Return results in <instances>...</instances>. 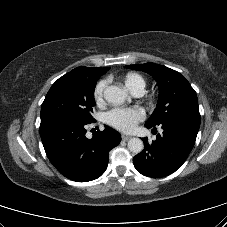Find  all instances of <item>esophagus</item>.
<instances>
[{"instance_id":"obj_1","label":"esophagus","mask_w":227,"mask_h":227,"mask_svg":"<svg viewBox=\"0 0 227 227\" xmlns=\"http://www.w3.org/2000/svg\"><path fill=\"white\" fill-rule=\"evenodd\" d=\"M129 139H131V136H129V135H122V140L123 141H128Z\"/></svg>"}]
</instances>
